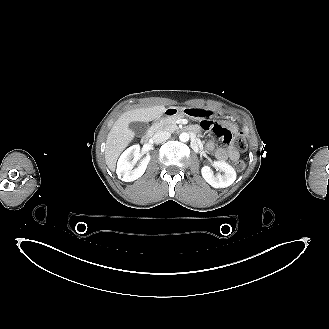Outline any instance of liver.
<instances>
[{"label":"liver","mask_w":329,"mask_h":329,"mask_svg":"<svg viewBox=\"0 0 329 329\" xmlns=\"http://www.w3.org/2000/svg\"><path fill=\"white\" fill-rule=\"evenodd\" d=\"M165 110L164 105L132 109L124 112L116 120L107 135L105 147V161L111 171H115L116 162L120 153L128 146L135 136L129 129V124L134 121L148 123L161 117Z\"/></svg>","instance_id":"liver-1"}]
</instances>
